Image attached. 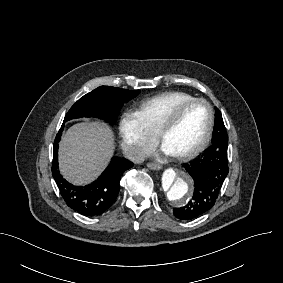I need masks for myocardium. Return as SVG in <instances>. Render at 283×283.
<instances>
[{
	"label": "myocardium",
	"instance_id": "f54148a6",
	"mask_svg": "<svg viewBox=\"0 0 283 283\" xmlns=\"http://www.w3.org/2000/svg\"><path fill=\"white\" fill-rule=\"evenodd\" d=\"M194 103H202L207 107L208 110V123L207 127L205 129V132L199 141V143L192 148L191 150L182 153L178 156H175L177 159L180 161H186L188 159H191L198 155L202 150L205 149L207 144L210 141L213 126H214V121H215V113L212 105L203 98H192L189 100L182 101L176 105H174L171 109V117L168 115H165L162 113L159 118H158V128L155 131V137L158 142V144L163 148V137L166 131L170 130L175 122L177 121L179 115L191 104Z\"/></svg>",
	"mask_w": 283,
	"mask_h": 283
}]
</instances>
